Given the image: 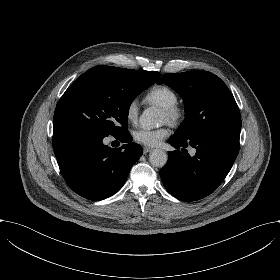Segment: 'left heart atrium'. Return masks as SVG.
Wrapping results in <instances>:
<instances>
[{
	"label": "left heart atrium",
	"instance_id": "left-heart-atrium-1",
	"mask_svg": "<svg viewBox=\"0 0 280 280\" xmlns=\"http://www.w3.org/2000/svg\"><path fill=\"white\" fill-rule=\"evenodd\" d=\"M168 123L160 128H137L133 131V139L137 144L155 147L169 135Z\"/></svg>",
	"mask_w": 280,
	"mask_h": 280
}]
</instances>
